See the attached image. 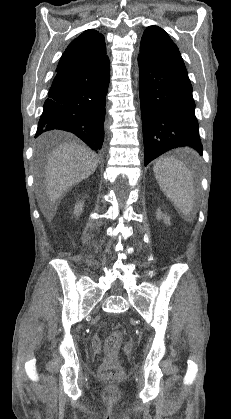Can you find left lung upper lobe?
I'll list each match as a JSON object with an SVG mask.
<instances>
[{
  "label": "left lung upper lobe",
  "instance_id": "1",
  "mask_svg": "<svg viewBox=\"0 0 231 419\" xmlns=\"http://www.w3.org/2000/svg\"><path fill=\"white\" fill-rule=\"evenodd\" d=\"M139 55L147 61L186 69L175 43L162 28L155 25L144 31Z\"/></svg>",
  "mask_w": 231,
  "mask_h": 419
}]
</instances>
